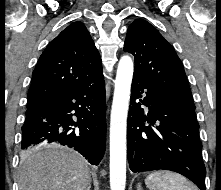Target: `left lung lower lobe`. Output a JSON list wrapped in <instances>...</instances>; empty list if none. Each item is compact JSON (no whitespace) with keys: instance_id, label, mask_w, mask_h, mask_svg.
Here are the masks:
<instances>
[{"instance_id":"left-lung-lower-lobe-1","label":"left lung lower lobe","mask_w":221,"mask_h":190,"mask_svg":"<svg viewBox=\"0 0 221 190\" xmlns=\"http://www.w3.org/2000/svg\"><path fill=\"white\" fill-rule=\"evenodd\" d=\"M141 102L148 106L147 113L141 108ZM127 145L128 162L134 173L171 170L206 190V169L195 111L178 105L136 76L131 86Z\"/></svg>"}]
</instances>
